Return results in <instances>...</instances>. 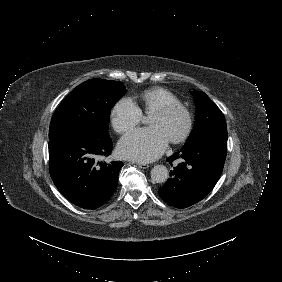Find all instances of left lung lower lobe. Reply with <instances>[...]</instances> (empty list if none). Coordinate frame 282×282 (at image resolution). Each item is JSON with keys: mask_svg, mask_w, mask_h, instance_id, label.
<instances>
[{"mask_svg": "<svg viewBox=\"0 0 282 282\" xmlns=\"http://www.w3.org/2000/svg\"><path fill=\"white\" fill-rule=\"evenodd\" d=\"M227 153V128H214L186 143L167 159L182 163L158 190L160 197L176 208L189 207L210 193L223 170Z\"/></svg>", "mask_w": 282, "mask_h": 282, "instance_id": "1", "label": "left lung lower lobe"}]
</instances>
